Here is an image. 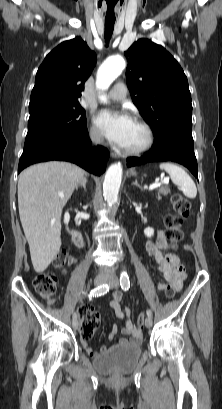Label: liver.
<instances>
[{
    "label": "liver",
    "mask_w": 222,
    "mask_h": 409,
    "mask_svg": "<svg viewBox=\"0 0 222 409\" xmlns=\"http://www.w3.org/2000/svg\"><path fill=\"white\" fill-rule=\"evenodd\" d=\"M84 174L74 164L49 161L19 176V216L37 273L46 270L60 250L61 213Z\"/></svg>",
    "instance_id": "1"
}]
</instances>
